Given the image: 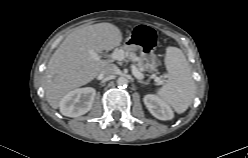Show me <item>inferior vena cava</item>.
<instances>
[{
  "instance_id": "obj_1",
  "label": "inferior vena cava",
  "mask_w": 248,
  "mask_h": 158,
  "mask_svg": "<svg viewBox=\"0 0 248 158\" xmlns=\"http://www.w3.org/2000/svg\"><path fill=\"white\" fill-rule=\"evenodd\" d=\"M116 66L114 64H108L99 74L100 78H110L116 72Z\"/></svg>"
}]
</instances>
